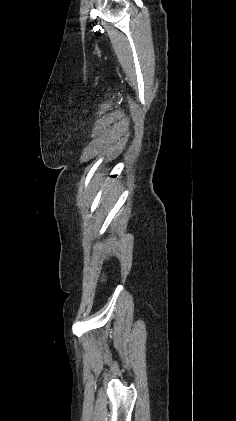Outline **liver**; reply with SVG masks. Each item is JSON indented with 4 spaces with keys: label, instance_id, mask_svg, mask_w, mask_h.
Returning a JSON list of instances; mask_svg holds the SVG:
<instances>
[{
    "label": "liver",
    "instance_id": "6515ba94",
    "mask_svg": "<svg viewBox=\"0 0 236 421\" xmlns=\"http://www.w3.org/2000/svg\"><path fill=\"white\" fill-rule=\"evenodd\" d=\"M113 184H114V182H113ZM108 192H110L109 196H113V192H115V190H113L112 184H106L105 190H104L105 196H106V194H108Z\"/></svg>",
    "mask_w": 236,
    "mask_h": 421
}]
</instances>
